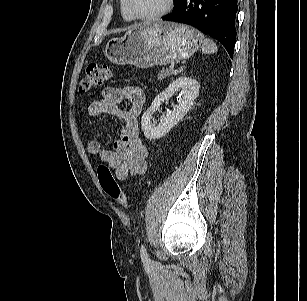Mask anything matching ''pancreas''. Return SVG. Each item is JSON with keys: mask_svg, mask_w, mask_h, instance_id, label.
<instances>
[{"mask_svg": "<svg viewBox=\"0 0 307 301\" xmlns=\"http://www.w3.org/2000/svg\"><path fill=\"white\" fill-rule=\"evenodd\" d=\"M171 74V69H162V71L158 74V80H162L166 77H169Z\"/></svg>", "mask_w": 307, "mask_h": 301, "instance_id": "obj_1", "label": "pancreas"}]
</instances>
